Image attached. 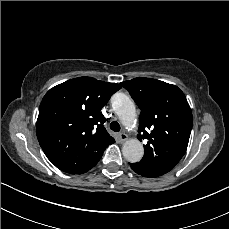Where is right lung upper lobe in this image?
Listing matches in <instances>:
<instances>
[{"mask_svg":"<svg viewBox=\"0 0 229 229\" xmlns=\"http://www.w3.org/2000/svg\"><path fill=\"white\" fill-rule=\"evenodd\" d=\"M121 85L78 77L50 89L36 124L37 138L47 158L66 173H84L115 142L103 126L100 112Z\"/></svg>","mask_w":229,"mask_h":229,"instance_id":"cb5924a9","label":"right lung upper lobe"}]
</instances>
